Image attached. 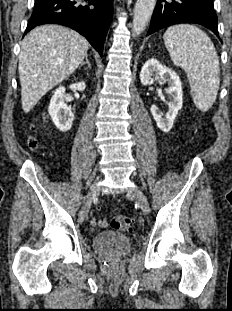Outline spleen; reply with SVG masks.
Here are the masks:
<instances>
[{
	"mask_svg": "<svg viewBox=\"0 0 232 311\" xmlns=\"http://www.w3.org/2000/svg\"><path fill=\"white\" fill-rule=\"evenodd\" d=\"M163 39L173 63L187 73L196 107L208 111L220 84L218 55L212 41L204 31L189 24L169 27Z\"/></svg>",
	"mask_w": 232,
	"mask_h": 311,
	"instance_id": "1",
	"label": "spleen"
}]
</instances>
